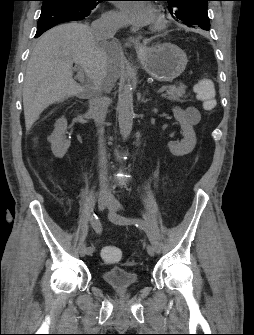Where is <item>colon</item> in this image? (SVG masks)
<instances>
[{
    "label": "colon",
    "mask_w": 254,
    "mask_h": 335,
    "mask_svg": "<svg viewBox=\"0 0 254 335\" xmlns=\"http://www.w3.org/2000/svg\"><path fill=\"white\" fill-rule=\"evenodd\" d=\"M194 91L198 100L206 111H212L216 107L215 87L211 79L199 78L194 84ZM102 259L107 263H115L121 259V251L115 246H106L101 250Z\"/></svg>",
    "instance_id": "5ec220e1"
}]
</instances>
